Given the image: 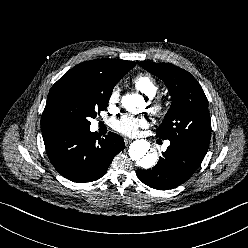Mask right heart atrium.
Listing matches in <instances>:
<instances>
[{
  "label": "right heart atrium",
  "instance_id": "obj_1",
  "mask_svg": "<svg viewBox=\"0 0 248 248\" xmlns=\"http://www.w3.org/2000/svg\"><path fill=\"white\" fill-rule=\"evenodd\" d=\"M120 90L118 86H115L110 94L109 100L111 104H116L119 101Z\"/></svg>",
  "mask_w": 248,
  "mask_h": 248
}]
</instances>
